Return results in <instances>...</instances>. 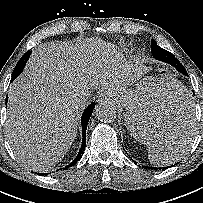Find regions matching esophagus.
Returning a JSON list of instances; mask_svg holds the SVG:
<instances>
[{
	"mask_svg": "<svg viewBox=\"0 0 203 203\" xmlns=\"http://www.w3.org/2000/svg\"><path fill=\"white\" fill-rule=\"evenodd\" d=\"M109 100V96L106 93H102L98 97V101L101 103L107 102Z\"/></svg>",
	"mask_w": 203,
	"mask_h": 203,
	"instance_id": "1",
	"label": "esophagus"
}]
</instances>
